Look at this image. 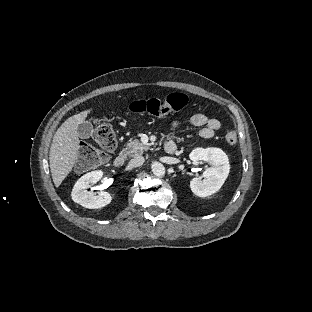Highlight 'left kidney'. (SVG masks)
Instances as JSON below:
<instances>
[{"label": "left kidney", "mask_w": 312, "mask_h": 312, "mask_svg": "<svg viewBox=\"0 0 312 312\" xmlns=\"http://www.w3.org/2000/svg\"><path fill=\"white\" fill-rule=\"evenodd\" d=\"M189 158L194 161H206L211 167L207 168L201 177L190 181L192 192L199 197H206L217 192L228 177L230 165L228 157L220 148H196ZM202 177L204 178L202 180Z\"/></svg>", "instance_id": "5707ae66"}]
</instances>
